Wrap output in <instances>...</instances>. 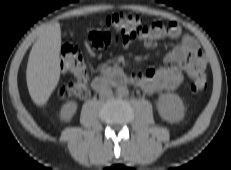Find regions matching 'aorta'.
<instances>
[{
  "label": "aorta",
  "mask_w": 231,
  "mask_h": 170,
  "mask_svg": "<svg viewBox=\"0 0 231 170\" xmlns=\"http://www.w3.org/2000/svg\"><path fill=\"white\" fill-rule=\"evenodd\" d=\"M116 94L118 96H127L129 94L128 88L126 86H118L116 88Z\"/></svg>",
  "instance_id": "obj_1"
}]
</instances>
